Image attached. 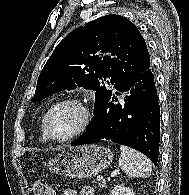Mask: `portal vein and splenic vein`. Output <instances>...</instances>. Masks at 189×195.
<instances>
[{
  "label": "portal vein and splenic vein",
  "mask_w": 189,
  "mask_h": 195,
  "mask_svg": "<svg viewBox=\"0 0 189 195\" xmlns=\"http://www.w3.org/2000/svg\"><path fill=\"white\" fill-rule=\"evenodd\" d=\"M97 180L100 181V182H102L103 183V186L105 185V180L103 179V177L98 176L97 177Z\"/></svg>",
  "instance_id": "obj_1"
}]
</instances>
